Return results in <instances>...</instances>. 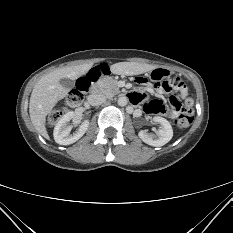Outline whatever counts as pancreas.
Here are the masks:
<instances>
[{
  "instance_id": "obj_1",
  "label": "pancreas",
  "mask_w": 233,
  "mask_h": 233,
  "mask_svg": "<svg viewBox=\"0 0 233 233\" xmlns=\"http://www.w3.org/2000/svg\"><path fill=\"white\" fill-rule=\"evenodd\" d=\"M99 84L102 88V91L109 96L118 92L117 81L112 78H103Z\"/></svg>"
}]
</instances>
